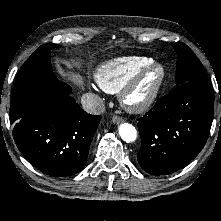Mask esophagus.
Masks as SVG:
<instances>
[{
  "mask_svg": "<svg viewBox=\"0 0 221 221\" xmlns=\"http://www.w3.org/2000/svg\"><path fill=\"white\" fill-rule=\"evenodd\" d=\"M123 121H124V119H123L122 117L118 116V115H114V116L112 117V122H113L114 124H118V123H121V122H123Z\"/></svg>",
  "mask_w": 221,
  "mask_h": 221,
  "instance_id": "obj_1",
  "label": "esophagus"
}]
</instances>
